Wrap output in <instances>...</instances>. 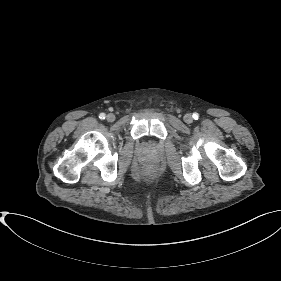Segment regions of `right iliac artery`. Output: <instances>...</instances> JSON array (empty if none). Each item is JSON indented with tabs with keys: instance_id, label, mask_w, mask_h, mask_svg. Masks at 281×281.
<instances>
[{
	"instance_id": "obj_1",
	"label": "right iliac artery",
	"mask_w": 281,
	"mask_h": 281,
	"mask_svg": "<svg viewBox=\"0 0 281 281\" xmlns=\"http://www.w3.org/2000/svg\"><path fill=\"white\" fill-rule=\"evenodd\" d=\"M105 117H106V116H105L104 113H100V115H99V118H100V119H105Z\"/></svg>"
}]
</instances>
